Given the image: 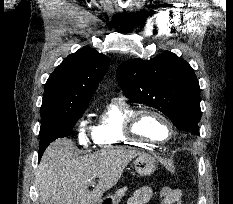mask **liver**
Here are the masks:
<instances>
[{"label": "liver", "instance_id": "obj_1", "mask_svg": "<svg viewBox=\"0 0 233 204\" xmlns=\"http://www.w3.org/2000/svg\"><path fill=\"white\" fill-rule=\"evenodd\" d=\"M75 143L57 139L45 150L36 172L40 204H97L120 179L128 163L142 153L105 149L75 157ZM98 178L95 188L89 182Z\"/></svg>", "mask_w": 233, "mask_h": 204}]
</instances>
